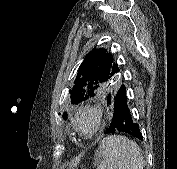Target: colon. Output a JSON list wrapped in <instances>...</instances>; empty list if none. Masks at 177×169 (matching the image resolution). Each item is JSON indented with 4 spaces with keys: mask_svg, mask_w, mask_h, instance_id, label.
<instances>
[{
    "mask_svg": "<svg viewBox=\"0 0 177 169\" xmlns=\"http://www.w3.org/2000/svg\"><path fill=\"white\" fill-rule=\"evenodd\" d=\"M65 169H85V168H82V167H76V168H65Z\"/></svg>",
    "mask_w": 177,
    "mask_h": 169,
    "instance_id": "colon-1",
    "label": "colon"
}]
</instances>
